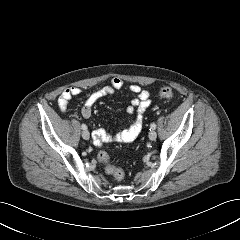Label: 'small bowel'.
<instances>
[{
  "label": "small bowel",
  "mask_w": 240,
  "mask_h": 240,
  "mask_svg": "<svg viewBox=\"0 0 240 240\" xmlns=\"http://www.w3.org/2000/svg\"><path fill=\"white\" fill-rule=\"evenodd\" d=\"M124 83L119 78H112L110 83L106 86L99 88L91 93L85 100V103L81 109V115L84 119H88L92 115V107L94 103L104 97L113 95L117 90L122 89ZM129 90L136 94V97L131 100L130 105L127 107L129 114H134L135 117L131 123L123 130L118 132H109L104 129H97L94 131V139L97 143H129L135 140L141 131L144 124V112L150 106L149 93L147 90L142 89L138 84H132L129 86ZM81 94V89L76 86L68 87L64 89L58 98V107L62 112L66 111L68 102Z\"/></svg>",
  "instance_id": "small-bowel-1"
}]
</instances>
